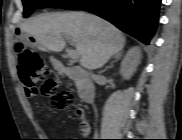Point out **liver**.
Listing matches in <instances>:
<instances>
[{"label": "liver", "mask_w": 182, "mask_h": 140, "mask_svg": "<svg viewBox=\"0 0 182 140\" xmlns=\"http://www.w3.org/2000/svg\"><path fill=\"white\" fill-rule=\"evenodd\" d=\"M22 33L33 37L43 50L60 52L63 37H69L85 69L103 67L111 56L121 51L125 37L114 25L85 12L46 13L20 25Z\"/></svg>", "instance_id": "obj_1"}]
</instances>
